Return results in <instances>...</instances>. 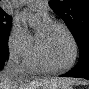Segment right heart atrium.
Masks as SVG:
<instances>
[{"mask_svg": "<svg viewBox=\"0 0 89 89\" xmlns=\"http://www.w3.org/2000/svg\"><path fill=\"white\" fill-rule=\"evenodd\" d=\"M8 48L10 54L20 60H25L35 50L33 37L18 21L11 28Z\"/></svg>", "mask_w": 89, "mask_h": 89, "instance_id": "d8ad5b80", "label": "right heart atrium"}]
</instances>
